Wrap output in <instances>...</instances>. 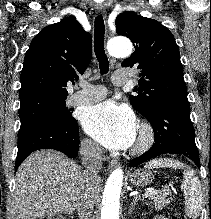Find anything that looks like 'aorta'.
I'll return each mask as SVG.
<instances>
[{
    "instance_id": "1",
    "label": "aorta",
    "mask_w": 211,
    "mask_h": 219,
    "mask_svg": "<svg viewBox=\"0 0 211 219\" xmlns=\"http://www.w3.org/2000/svg\"><path fill=\"white\" fill-rule=\"evenodd\" d=\"M109 53L115 57H128L132 44L127 39H115L108 46ZM123 184V170L116 168L111 172L103 192L101 219H119L120 194Z\"/></svg>"
}]
</instances>
